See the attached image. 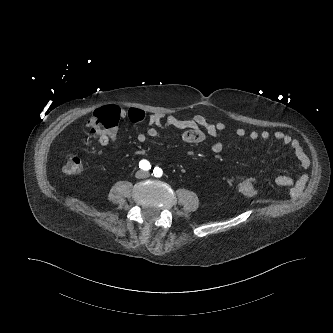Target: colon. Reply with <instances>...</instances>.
<instances>
[{
	"label": "colon",
	"instance_id": "colon-1",
	"mask_svg": "<svg viewBox=\"0 0 333 333\" xmlns=\"http://www.w3.org/2000/svg\"><path fill=\"white\" fill-rule=\"evenodd\" d=\"M120 119V109L115 105H108L97 109L88 121V126L97 135L109 133L116 129ZM83 170L81 158L73 152L67 154L64 171L68 174H79ZM240 191L245 196L256 195L254 180L244 179L240 183Z\"/></svg>",
	"mask_w": 333,
	"mask_h": 333
}]
</instances>
